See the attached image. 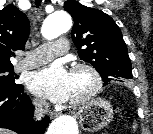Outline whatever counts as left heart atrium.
<instances>
[{"label": "left heart atrium", "mask_w": 153, "mask_h": 134, "mask_svg": "<svg viewBox=\"0 0 153 134\" xmlns=\"http://www.w3.org/2000/svg\"><path fill=\"white\" fill-rule=\"evenodd\" d=\"M28 87L33 93L52 102H65L71 95V73L62 64L54 63L31 73Z\"/></svg>", "instance_id": "left-heart-atrium-1"}]
</instances>
